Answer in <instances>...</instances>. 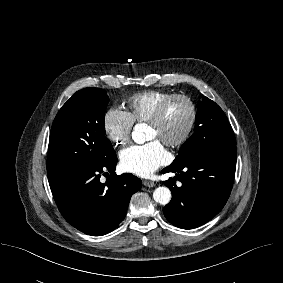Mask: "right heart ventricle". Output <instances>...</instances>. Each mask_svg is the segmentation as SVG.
Masks as SVG:
<instances>
[{
    "instance_id": "1",
    "label": "right heart ventricle",
    "mask_w": 283,
    "mask_h": 283,
    "mask_svg": "<svg viewBox=\"0 0 283 283\" xmlns=\"http://www.w3.org/2000/svg\"><path fill=\"white\" fill-rule=\"evenodd\" d=\"M170 94L166 91L146 90L130 96L126 101V108L132 122H147L159 103Z\"/></svg>"
}]
</instances>
